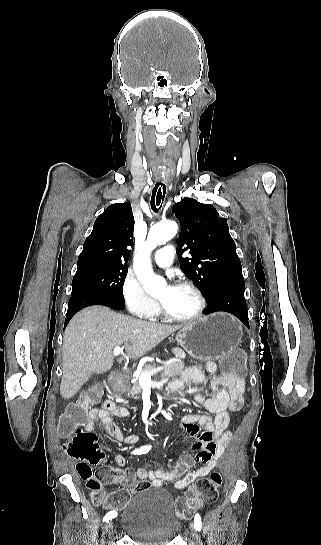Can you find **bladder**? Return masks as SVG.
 I'll list each match as a JSON object with an SVG mask.
<instances>
[{
    "instance_id": "bladder-1",
    "label": "bladder",
    "mask_w": 321,
    "mask_h": 545,
    "mask_svg": "<svg viewBox=\"0 0 321 545\" xmlns=\"http://www.w3.org/2000/svg\"><path fill=\"white\" fill-rule=\"evenodd\" d=\"M126 535L139 545H166L180 529L172 498L164 488L136 492L120 514Z\"/></svg>"
}]
</instances>
